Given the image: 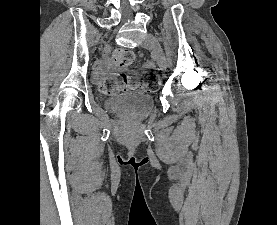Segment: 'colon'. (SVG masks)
Instances as JSON below:
<instances>
[{"label":"colon","mask_w":277,"mask_h":225,"mask_svg":"<svg viewBox=\"0 0 277 225\" xmlns=\"http://www.w3.org/2000/svg\"><path fill=\"white\" fill-rule=\"evenodd\" d=\"M136 54L129 49H118L114 52L111 63L117 68L131 65ZM140 86L144 91L155 92L159 86V74L153 69H146L141 73L135 71L110 75L105 77L99 85L102 95H116L122 91L135 89Z\"/></svg>","instance_id":"1"}]
</instances>
